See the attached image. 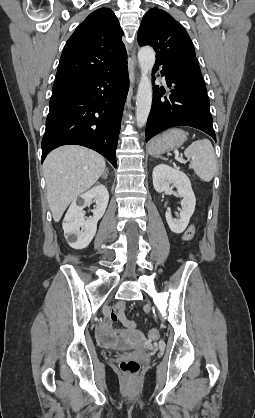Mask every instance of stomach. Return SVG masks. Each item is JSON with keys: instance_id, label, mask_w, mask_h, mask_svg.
<instances>
[{"instance_id": "obj_1", "label": "stomach", "mask_w": 255, "mask_h": 418, "mask_svg": "<svg viewBox=\"0 0 255 418\" xmlns=\"http://www.w3.org/2000/svg\"><path fill=\"white\" fill-rule=\"evenodd\" d=\"M186 139L185 131L173 128L152 139L148 145V151L152 155H160L181 147Z\"/></svg>"}]
</instances>
